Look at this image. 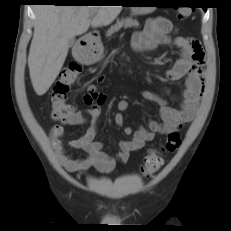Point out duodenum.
<instances>
[{
  "instance_id": "obj_1",
  "label": "duodenum",
  "mask_w": 231,
  "mask_h": 231,
  "mask_svg": "<svg viewBox=\"0 0 231 231\" xmlns=\"http://www.w3.org/2000/svg\"><path fill=\"white\" fill-rule=\"evenodd\" d=\"M96 36H97V34L94 32H89L86 34V38H88V39L95 38ZM79 52H81V51H79Z\"/></svg>"
}]
</instances>
